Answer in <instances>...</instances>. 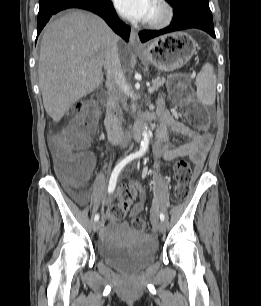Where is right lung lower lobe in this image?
<instances>
[{
	"instance_id": "right-lung-lower-lobe-1",
	"label": "right lung lower lobe",
	"mask_w": 261,
	"mask_h": 306,
	"mask_svg": "<svg viewBox=\"0 0 261 306\" xmlns=\"http://www.w3.org/2000/svg\"><path fill=\"white\" fill-rule=\"evenodd\" d=\"M39 5L37 35L57 12L67 8H82L101 16L114 32L129 40L130 27L118 18L111 0H39Z\"/></svg>"
}]
</instances>
